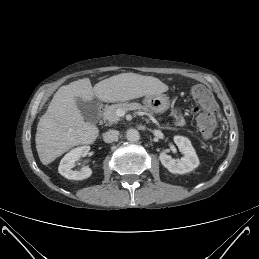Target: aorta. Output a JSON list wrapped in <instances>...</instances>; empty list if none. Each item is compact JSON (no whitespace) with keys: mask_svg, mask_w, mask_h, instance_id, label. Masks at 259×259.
Masks as SVG:
<instances>
[{"mask_svg":"<svg viewBox=\"0 0 259 259\" xmlns=\"http://www.w3.org/2000/svg\"><path fill=\"white\" fill-rule=\"evenodd\" d=\"M126 138L130 142H137L140 139V134L136 129H129L126 132Z\"/></svg>","mask_w":259,"mask_h":259,"instance_id":"aorta-1","label":"aorta"}]
</instances>
